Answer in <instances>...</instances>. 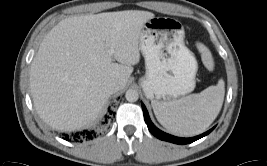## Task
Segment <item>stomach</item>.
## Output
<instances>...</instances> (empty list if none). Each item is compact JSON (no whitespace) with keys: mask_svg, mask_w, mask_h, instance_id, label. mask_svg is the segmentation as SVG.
Segmentation results:
<instances>
[{"mask_svg":"<svg viewBox=\"0 0 267 166\" xmlns=\"http://www.w3.org/2000/svg\"><path fill=\"white\" fill-rule=\"evenodd\" d=\"M184 37L175 19L154 17L145 23L139 46L146 73L139 83L148 99L169 102L194 90L198 63Z\"/></svg>","mask_w":267,"mask_h":166,"instance_id":"0dacf381","label":"stomach"}]
</instances>
